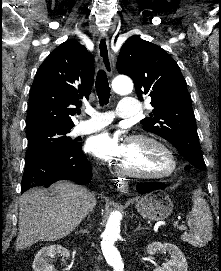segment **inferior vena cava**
Wrapping results in <instances>:
<instances>
[{
    "label": "inferior vena cava",
    "instance_id": "inferior-vena-cava-1",
    "mask_svg": "<svg viewBox=\"0 0 221 271\" xmlns=\"http://www.w3.org/2000/svg\"><path fill=\"white\" fill-rule=\"evenodd\" d=\"M96 271H101V269H99L98 265H96Z\"/></svg>",
    "mask_w": 221,
    "mask_h": 271
}]
</instances>
